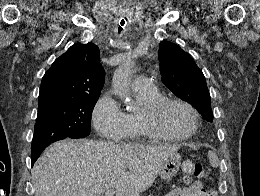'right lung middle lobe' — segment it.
Wrapping results in <instances>:
<instances>
[{
	"label": "right lung middle lobe",
	"mask_w": 260,
	"mask_h": 196,
	"mask_svg": "<svg viewBox=\"0 0 260 196\" xmlns=\"http://www.w3.org/2000/svg\"><path fill=\"white\" fill-rule=\"evenodd\" d=\"M98 98L99 95H83L39 106L31 151L61 139L87 137Z\"/></svg>",
	"instance_id": "obj_1"
}]
</instances>
